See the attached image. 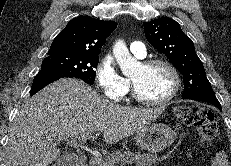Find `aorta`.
I'll use <instances>...</instances> for the list:
<instances>
[{
  "instance_id": "762f6f07",
  "label": "aorta",
  "mask_w": 231,
  "mask_h": 166,
  "mask_svg": "<svg viewBox=\"0 0 231 166\" xmlns=\"http://www.w3.org/2000/svg\"><path fill=\"white\" fill-rule=\"evenodd\" d=\"M113 54L125 76L131 75L140 67V62L129 52L125 42L118 40L113 47Z\"/></svg>"
}]
</instances>
